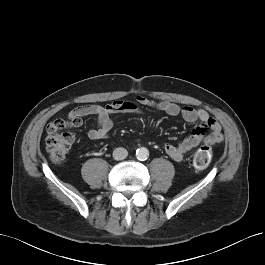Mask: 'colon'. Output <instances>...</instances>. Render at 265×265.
<instances>
[{
    "label": "colon",
    "instance_id": "5ec220e1",
    "mask_svg": "<svg viewBox=\"0 0 265 265\" xmlns=\"http://www.w3.org/2000/svg\"><path fill=\"white\" fill-rule=\"evenodd\" d=\"M72 126L70 119H57L47 127L46 149L50 158L55 162L63 161L74 142L75 136L66 129ZM212 160V150L209 146H201L193 157V166L203 170L209 166Z\"/></svg>",
    "mask_w": 265,
    "mask_h": 265
}]
</instances>
